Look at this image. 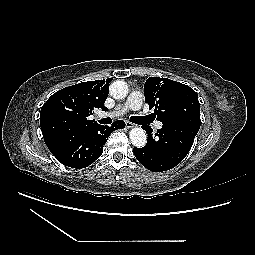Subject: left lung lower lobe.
I'll return each instance as SVG.
<instances>
[{"label": "left lung lower lobe", "mask_w": 255, "mask_h": 255, "mask_svg": "<svg viewBox=\"0 0 255 255\" xmlns=\"http://www.w3.org/2000/svg\"><path fill=\"white\" fill-rule=\"evenodd\" d=\"M148 135L143 148H134L137 160L148 170L162 172L177 166L190 151L199 125L163 123L155 135L150 126H142Z\"/></svg>", "instance_id": "left-lung-lower-lobe-1"}]
</instances>
